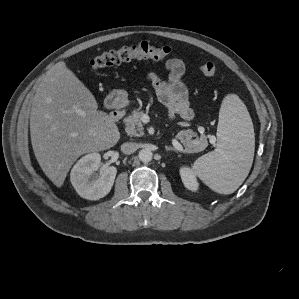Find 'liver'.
Masks as SVG:
<instances>
[{
    "mask_svg": "<svg viewBox=\"0 0 299 299\" xmlns=\"http://www.w3.org/2000/svg\"><path fill=\"white\" fill-rule=\"evenodd\" d=\"M97 108L93 94L63 61L39 84L30 114L31 143L41 169L57 187L79 156L119 141L115 121Z\"/></svg>",
    "mask_w": 299,
    "mask_h": 299,
    "instance_id": "1",
    "label": "liver"
}]
</instances>
